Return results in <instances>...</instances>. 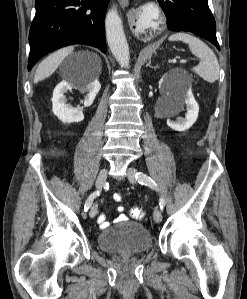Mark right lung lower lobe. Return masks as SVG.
I'll return each mask as SVG.
<instances>
[{"label": "right lung lower lobe", "instance_id": "98d812e1", "mask_svg": "<svg viewBox=\"0 0 247 299\" xmlns=\"http://www.w3.org/2000/svg\"><path fill=\"white\" fill-rule=\"evenodd\" d=\"M109 0H36L29 43L28 71L44 55L84 44L106 53L104 19Z\"/></svg>", "mask_w": 247, "mask_h": 299}]
</instances>
